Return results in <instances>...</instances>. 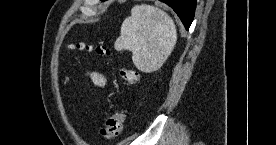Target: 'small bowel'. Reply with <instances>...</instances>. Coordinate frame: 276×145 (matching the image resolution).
<instances>
[{"label": "small bowel", "instance_id": "1", "mask_svg": "<svg viewBox=\"0 0 276 145\" xmlns=\"http://www.w3.org/2000/svg\"><path fill=\"white\" fill-rule=\"evenodd\" d=\"M92 80L99 86H103L105 85V79L104 77L101 75V74H98V73H91L90 74Z\"/></svg>", "mask_w": 276, "mask_h": 145}]
</instances>
